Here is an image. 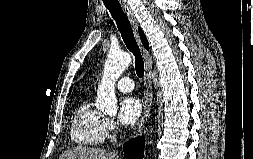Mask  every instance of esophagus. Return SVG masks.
<instances>
[{"label": "esophagus", "instance_id": "1", "mask_svg": "<svg viewBox=\"0 0 253 159\" xmlns=\"http://www.w3.org/2000/svg\"><path fill=\"white\" fill-rule=\"evenodd\" d=\"M122 6V9L129 19L130 23L133 26V30L135 33V37L142 51V55L145 61V74H144V87H145V96L143 100V113L141 115L140 121L137 125V128L134 132V137L138 136L142 133L143 128L145 126L147 118L150 116L151 105H152V82H151V72H152V57L150 53L142 46L139 35L137 33V20L133 15L132 10L130 9L129 4L126 0H118Z\"/></svg>", "mask_w": 253, "mask_h": 159}]
</instances>
